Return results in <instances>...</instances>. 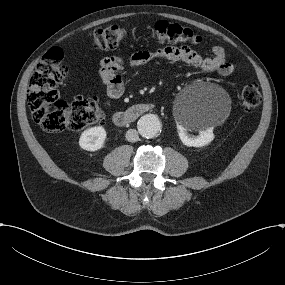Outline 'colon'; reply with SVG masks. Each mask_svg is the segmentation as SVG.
Listing matches in <instances>:
<instances>
[{
    "label": "colon",
    "instance_id": "1",
    "mask_svg": "<svg viewBox=\"0 0 285 285\" xmlns=\"http://www.w3.org/2000/svg\"><path fill=\"white\" fill-rule=\"evenodd\" d=\"M136 33L134 28L112 25L94 30L91 39L95 48L113 50ZM143 33L159 44L185 42L192 46H201L204 43L191 29L165 20L144 29ZM67 74L68 68L63 64V52L59 48H52L43 56L30 78L27 103L33 120L47 132L82 130L104 117L95 98L73 102L60 99L58 86ZM240 102L246 110L257 107L261 102L258 87L253 84L245 86Z\"/></svg>",
    "mask_w": 285,
    "mask_h": 285
}]
</instances>
